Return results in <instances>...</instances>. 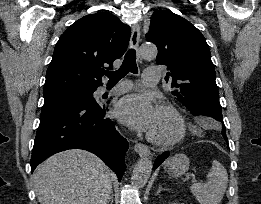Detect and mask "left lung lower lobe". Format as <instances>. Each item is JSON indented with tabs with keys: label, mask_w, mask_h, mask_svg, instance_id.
<instances>
[{
	"label": "left lung lower lobe",
	"mask_w": 261,
	"mask_h": 204,
	"mask_svg": "<svg viewBox=\"0 0 261 204\" xmlns=\"http://www.w3.org/2000/svg\"><path fill=\"white\" fill-rule=\"evenodd\" d=\"M211 125V124H210ZM212 127H214L213 125H211ZM222 136L224 137V139L227 141V137H226V133L222 132ZM169 156V152H163L160 156L157 157L153 169H156L167 157Z\"/></svg>",
	"instance_id": "0a47b994"
}]
</instances>
